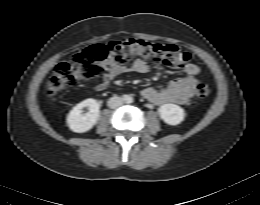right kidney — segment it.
I'll return each instance as SVG.
<instances>
[{
    "mask_svg": "<svg viewBox=\"0 0 260 205\" xmlns=\"http://www.w3.org/2000/svg\"><path fill=\"white\" fill-rule=\"evenodd\" d=\"M88 108L87 113H83V108ZM100 105L94 99H86L77 104L67 116V125L76 133L89 131L98 121L100 116Z\"/></svg>",
    "mask_w": 260,
    "mask_h": 205,
    "instance_id": "1",
    "label": "right kidney"
}]
</instances>
